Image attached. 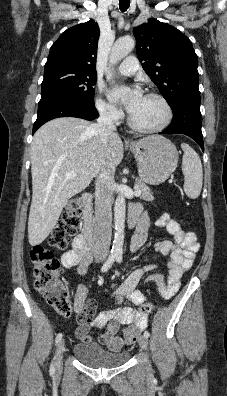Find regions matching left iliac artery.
<instances>
[{
	"instance_id": "left-iliac-artery-1",
	"label": "left iliac artery",
	"mask_w": 227,
	"mask_h": 396,
	"mask_svg": "<svg viewBox=\"0 0 227 396\" xmlns=\"http://www.w3.org/2000/svg\"><path fill=\"white\" fill-rule=\"evenodd\" d=\"M116 261L118 263H121V261H122V254L121 253L116 254ZM144 336H146L148 338L150 336V333L148 331H145L144 332Z\"/></svg>"
}]
</instances>
